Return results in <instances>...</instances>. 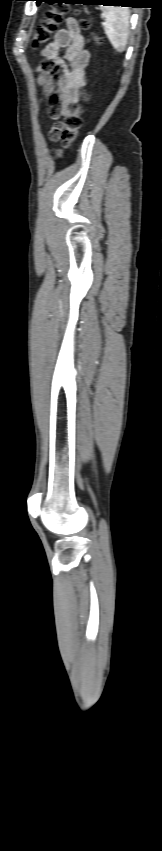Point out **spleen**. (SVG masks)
<instances>
[{
  "label": "spleen",
  "instance_id": "obj_1",
  "mask_svg": "<svg viewBox=\"0 0 162 851\" xmlns=\"http://www.w3.org/2000/svg\"><path fill=\"white\" fill-rule=\"evenodd\" d=\"M105 17L104 30L114 49L123 52L129 35V10L122 7H101Z\"/></svg>",
  "mask_w": 162,
  "mask_h": 851
}]
</instances>
